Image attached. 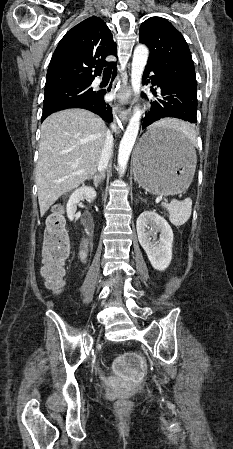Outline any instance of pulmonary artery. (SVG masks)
<instances>
[{"mask_svg": "<svg viewBox=\"0 0 233 449\" xmlns=\"http://www.w3.org/2000/svg\"><path fill=\"white\" fill-rule=\"evenodd\" d=\"M100 83V80L99 79H96L95 81H94V85H97V84H99Z\"/></svg>", "mask_w": 233, "mask_h": 449, "instance_id": "1", "label": "pulmonary artery"}]
</instances>
